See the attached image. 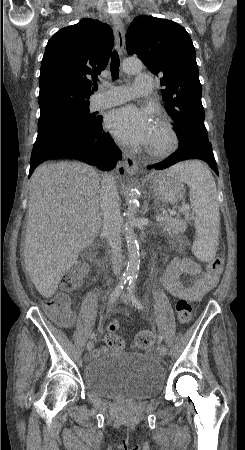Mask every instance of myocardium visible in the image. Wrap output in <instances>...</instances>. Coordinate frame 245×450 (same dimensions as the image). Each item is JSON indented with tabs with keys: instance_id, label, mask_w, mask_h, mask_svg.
Segmentation results:
<instances>
[{
	"instance_id": "f54148a6",
	"label": "myocardium",
	"mask_w": 245,
	"mask_h": 450,
	"mask_svg": "<svg viewBox=\"0 0 245 450\" xmlns=\"http://www.w3.org/2000/svg\"><path fill=\"white\" fill-rule=\"evenodd\" d=\"M179 145L178 133L167 118H159L156 121V134L152 138L148 153L155 157H161L172 153Z\"/></svg>"
}]
</instances>
